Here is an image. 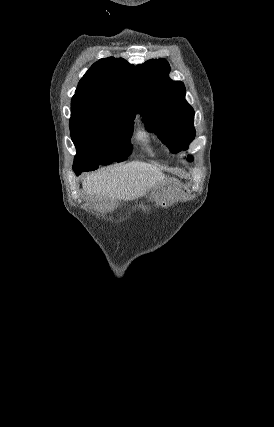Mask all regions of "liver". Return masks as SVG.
Wrapping results in <instances>:
<instances>
[{
    "instance_id": "6515ba94",
    "label": "liver",
    "mask_w": 274,
    "mask_h": 427,
    "mask_svg": "<svg viewBox=\"0 0 274 427\" xmlns=\"http://www.w3.org/2000/svg\"><path fill=\"white\" fill-rule=\"evenodd\" d=\"M162 170L145 162H129L112 166L104 172L89 174L82 186L90 198H106V200H136L164 182Z\"/></svg>"
}]
</instances>
